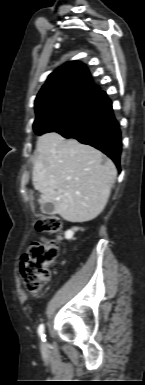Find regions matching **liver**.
Listing matches in <instances>:
<instances>
[{"mask_svg":"<svg viewBox=\"0 0 145 385\" xmlns=\"http://www.w3.org/2000/svg\"><path fill=\"white\" fill-rule=\"evenodd\" d=\"M117 170L92 146L48 132L37 141L32 182L39 203H53L69 222H86L105 208Z\"/></svg>","mask_w":145,"mask_h":385,"instance_id":"6515ba94","label":"liver"}]
</instances>
